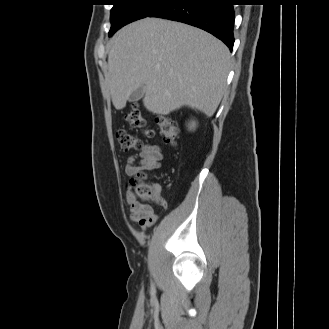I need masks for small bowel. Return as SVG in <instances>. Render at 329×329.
<instances>
[{
    "label": "small bowel",
    "instance_id": "1",
    "mask_svg": "<svg viewBox=\"0 0 329 329\" xmlns=\"http://www.w3.org/2000/svg\"><path fill=\"white\" fill-rule=\"evenodd\" d=\"M164 158L163 152L156 145H145L141 152L128 158L125 165L127 175H134L142 171H151L160 168ZM155 190L160 194L161 186L155 185ZM126 203L129 219L131 222L139 224L142 229H146L157 222V216L152 208H146L140 202H137L129 190L126 192Z\"/></svg>",
    "mask_w": 329,
    "mask_h": 329
}]
</instances>
